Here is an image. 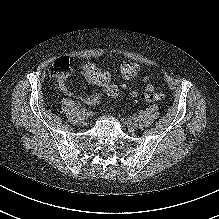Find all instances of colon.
Here are the masks:
<instances>
[{
    "mask_svg": "<svg viewBox=\"0 0 219 219\" xmlns=\"http://www.w3.org/2000/svg\"><path fill=\"white\" fill-rule=\"evenodd\" d=\"M71 63L67 57L57 58L49 69V74L51 77L58 81H62L67 78L71 73ZM139 67L133 62H123L120 67V72L124 78L135 77L138 73ZM91 71L96 75V82L104 90L106 96L110 98H115L119 94V89L116 85L111 83V77L107 72H104L98 68H92ZM132 97L136 100H141L144 102H154L159 101L163 98V94L156 92L154 90L147 91L144 94H132Z\"/></svg>",
    "mask_w": 219,
    "mask_h": 219,
    "instance_id": "1",
    "label": "colon"
}]
</instances>
